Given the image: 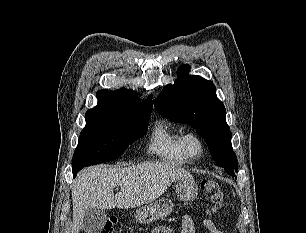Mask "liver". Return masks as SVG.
Instances as JSON below:
<instances>
[{
    "instance_id": "1",
    "label": "liver",
    "mask_w": 306,
    "mask_h": 233,
    "mask_svg": "<svg viewBox=\"0 0 306 233\" xmlns=\"http://www.w3.org/2000/svg\"><path fill=\"white\" fill-rule=\"evenodd\" d=\"M192 178L186 170L169 163L144 162L127 168L102 165L83 169L72 188L73 224L71 233H79L85 213L91 208L128 209L155 201L175 181ZM124 190L115 196L113 190Z\"/></svg>"
}]
</instances>
